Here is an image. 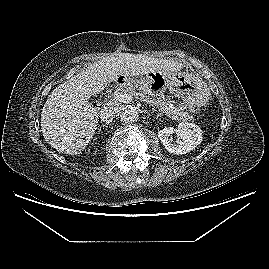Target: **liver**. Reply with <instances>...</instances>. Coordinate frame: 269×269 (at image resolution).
<instances>
[{
    "label": "liver",
    "instance_id": "obj_1",
    "mask_svg": "<svg viewBox=\"0 0 269 269\" xmlns=\"http://www.w3.org/2000/svg\"><path fill=\"white\" fill-rule=\"evenodd\" d=\"M182 63L142 54L110 55L68 81L48 97L41 114L44 139L58 152L77 155L93 137L101 111L89 98L117 81L120 75L143 76L154 71H179Z\"/></svg>",
    "mask_w": 269,
    "mask_h": 269
}]
</instances>
